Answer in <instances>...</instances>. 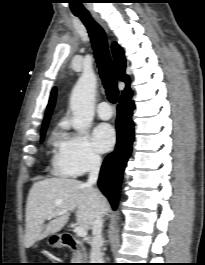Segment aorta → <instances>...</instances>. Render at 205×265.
<instances>
[{"mask_svg":"<svg viewBox=\"0 0 205 265\" xmlns=\"http://www.w3.org/2000/svg\"><path fill=\"white\" fill-rule=\"evenodd\" d=\"M96 87L97 78L94 72L84 70L72 90L70 98L72 126L77 131L86 129L93 120Z\"/></svg>","mask_w":205,"mask_h":265,"instance_id":"762f6f07","label":"aorta"}]
</instances>
